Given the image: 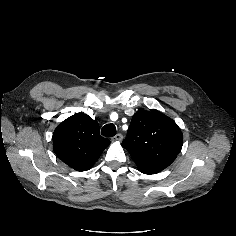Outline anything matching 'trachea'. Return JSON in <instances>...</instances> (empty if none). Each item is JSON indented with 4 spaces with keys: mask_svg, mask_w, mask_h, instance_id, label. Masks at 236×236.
I'll return each instance as SVG.
<instances>
[{
    "mask_svg": "<svg viewBox=\"0 0 236 236\" xmlns=\"http://www.w3.org/2000/svg\"><path fill=\"white\" fill-rule=\"evenodd\" d=\"M101 134L105 137H113L116 135V127L114 124L110 123V124H106L102 130H101Z\"/></svg>",
    "mask_w": 236,
    "mask_h": 236,
    "instance_id": "obj_1",
    "label": "trachea"
}]
</instances>
